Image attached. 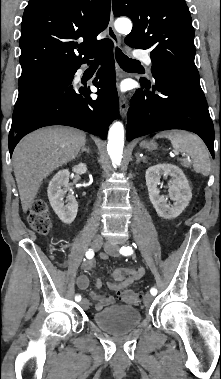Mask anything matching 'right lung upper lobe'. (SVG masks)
Returning <instances> with one entry per match:
<instances>
[{
  "mask_svg": "<svg viewBox=\"0 0 221 379\" xmlns=\"http://www.w3.org/2000/svg\"><path fill=\"white\" fill-rule=\"evenodd\" d=\"M109 19L110 0H29L19 41V82L88 62L108 43L107 39L98 41L96 37L107 27ZM78 39L83 42L79 44Z\"/></svg>",
  "mask_w": 221,
  "mask_h": 379,
  "instance_id": "obj_1",
  "label": "right lung upper lobe"
}]
</instances>
